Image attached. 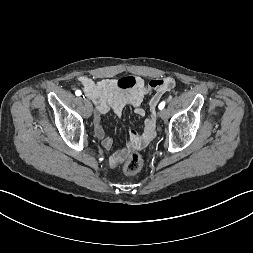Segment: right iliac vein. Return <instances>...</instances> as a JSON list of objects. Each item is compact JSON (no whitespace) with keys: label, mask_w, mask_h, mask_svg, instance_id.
<instances>
[{"label":"right iliac vein","mask_w":253,"mask_h":253,"mask_svg":"<svg viewBox=\"0 0 253 253\" xmlns=\"http://www.w3.org/2000/svg\"><path fill=\"white\" fill-rule=\"evenodd\" d=\"M92 110H93L92 103L89 100L85 99V111H86L87 117L91 116Z\"/></svg>","instance_id":"63e3f726"}]
</instances>
